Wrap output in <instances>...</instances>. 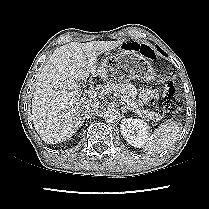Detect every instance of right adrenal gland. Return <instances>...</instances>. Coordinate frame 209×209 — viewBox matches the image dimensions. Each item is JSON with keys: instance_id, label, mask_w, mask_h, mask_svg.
Listing matches in <instances>:
<instances>
[{"instance_id": "obj_1", "label": "right adrenal gland", "mask_w": 209, "mask_h": 209, "mask_svg": "<svg viewBox=\"0 0 209 209\" xmlns=\"http://www.w3.org/2000/svg\"><path fill=\"white\" fill-rule=\"evenodd\" d=\"M92 115L89 114H85L83 117V122L85 121V119H91Z\"/></svg>"}]
</instances>
